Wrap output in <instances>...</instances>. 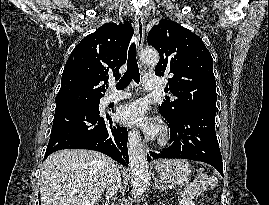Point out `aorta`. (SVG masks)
Wrapping results in <instances>:
<instances>
[{
	"label": "aorta",
	"instance_id": "obj_1",
	"mask_svg": "<svg viewBox=\"0 0 269 205\" xmlns=\"http://www.w3.org/2000/svg\"><path fill=\"white\" fill-rule=\"evenodd\" d=\"M140 59L144 64L155 66L159 61V53L155 49L146 48L141 51ZM128 154L132 175L131 197L137 198L144 193L149 181L148 162L137 131L129 135Z\"/></svg>",
	"mask_w": 269,
	"mask_h": 205
}]
</instances>
